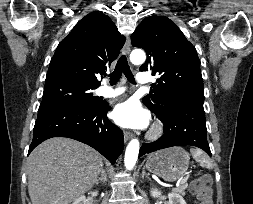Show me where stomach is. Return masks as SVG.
<instances>
[{
	"instance_id": "stomach-1",
	"label": "stomach",
	"mask_w": 253,
	"mask_h": 204,
	"mask_svg": "<svg viewBox=\"0 0 253 204\" xmlns=\"http://www.w3.org/2000/svg\"><path fill=\"white\" fill-rule=\"evenodd\" d=\"M189 155L182 147H172L149 155L145 167L165 181H176L189 168Z\"/></svg>"
}]
</instances>
